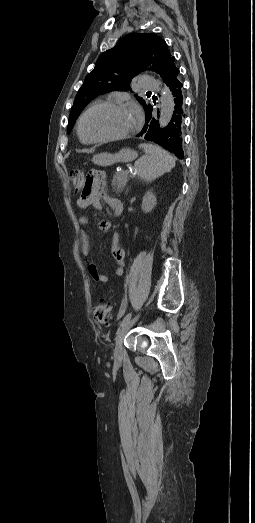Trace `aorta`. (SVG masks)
<instances>
[{"instance_id": "762f6f07", "label": "aorta", "mask_w": 255, "mask_h": 523, "mask_svg": "<svg viewBox=\"0 0 255 523\" xmlns=\"http://www.w3.org/2000/svg\"><path fill=\"white\" fill-rule=\"evenodd\" d=\"M161 104H160V127H165L172 116L174 110L173 96L168 87L161 90Z\"/></svg>"}]
</instances>
